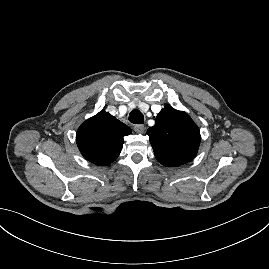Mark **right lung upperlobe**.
<instances>
[{"instance_id": "cb5924a9", "label": "right lung upper lobe", "mask_w": 269, "mask_h": 269, "mask_svg": "<svg viewBox=\"0 0 269 269\" xmlns=\"http://www.w3.org/2000/svg\"><path fill=\"white\" fill-rule=\"evenodd\" d=\"M131 133L128 126L102 110L79 127L76 142L86 160L105 166L118 157L124 136Z\"/></svg>"}]
</instances>
